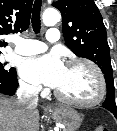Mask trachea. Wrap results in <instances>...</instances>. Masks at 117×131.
I'll return each mask as SVG.
<instances>
[{
  "mask_svg": "<svg viewBox=\"0 0 117 131\" xmlns=\"http://www.w3.org/2000/svg\"><path fill=\"white\" fill-rule=\"evenodd\" d=\"M41 5L42 0H35L31 20L32 27L35 33H39L41 29V20H40Z\"/></svg>",
  "mask_w": 117,
  "mask_h": 131,
  "instance_id": "obj_1",
  "label": "trachea"
}]
</instances>
